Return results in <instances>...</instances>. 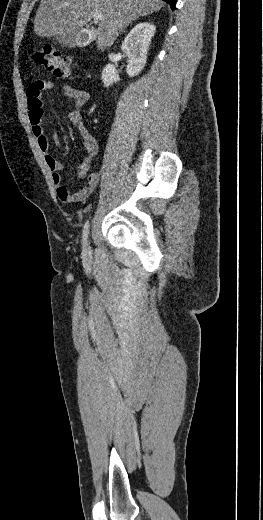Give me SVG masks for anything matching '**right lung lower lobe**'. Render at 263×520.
<instances>
[{
    "label": "right lung lower lobe",
    "instance_id": "right-lung-lower-lobe-1",
    "mask_svg": "<svg viewBox=\"0 0 263 520\" xmlns=\"http://www.w3.org/2000/svg\"><path fill=\"white\" fill-rule=\"evenodd\" d=\"M164 1L169 3V5L171 6V9L174 10L175 4H176V0H164Z\"/></svg>",
    "mask_w": 263,
    "mask_h": 520
}]
</instances>
